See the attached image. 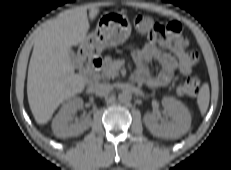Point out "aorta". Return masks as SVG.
<instances>
[{
  "instance_id": "aorta-1",
  "label": "aorta",
  "mask_w": 231,
  "mask_h": 170,
  "mask_svg": "<svg viewBox=\"0 0 231 170\" xmlns=\"http://www.w3.org/2000/svg\"><path fill=\"white\" fill-rule=\"evenodd\" d=\"M118 99L122 103H129L132 99V95H131V93H129L127 91H123V92L119 93Z\"/></svg>"
}]
</instances>
